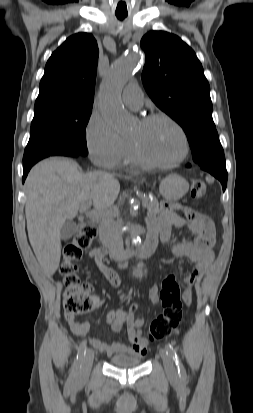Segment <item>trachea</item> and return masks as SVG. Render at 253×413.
Returning <instances> with one entry per match:
<instances>
[{
	"label": "trachea",
	"instance_id": "obj_1",
	"mask_svg": "<svg viewBox=\"0 0 253 413\" xmlns=\"http://www.w3.org/2000/svg\"><path fill=\"white\" fill-rule=\"evenodd\" d=\"M116 17H117L119 20H124V19L127 17V14H116Z\"/></svg>",
	"mask_w": 253,
	"mask_h": 413
}]
</instances>
